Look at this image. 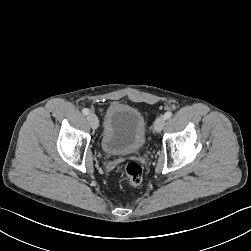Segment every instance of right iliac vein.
<instances>
[{"mask_svg":"<svg viewBox=\"0 0 251 251\" xmlns=\"http://www.w3.org/2000/svg\"><path fill=\"white\" fill-rule=\"evenodd\" d=\"M87 120L90 124V126L93 128V129H97L98 126H99V121H98V118L95 114L93 113H90L88 116H87Z\"/></svg>","mask_w":251,"mask_h":251,"instance_id":"63e3f726","label":"right iliac vein"}]
</instances>
